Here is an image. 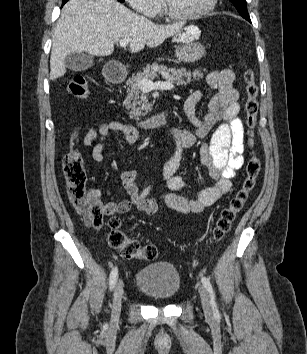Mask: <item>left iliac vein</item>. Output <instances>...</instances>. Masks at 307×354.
I'll return each instance as SVG.
<instances>
[{"label":"left iliac vein","mask_w":307,"mask_h":354,"mask_svg":"<svg viewBox=\"0 0 307 354\" xmlns=\"http://www.w3.org/2000/svg\"><path fill=\"white\" fill-rule=\"evenodd\" d=\"M199 294L201 297V302H202V306H203V310L207 315H211L212 314V309H211V302L208 296V293L206 291V289L203 286H199Z\"/></svg>","instance_id":"left-iliac-vein-1"}]
</instances>
